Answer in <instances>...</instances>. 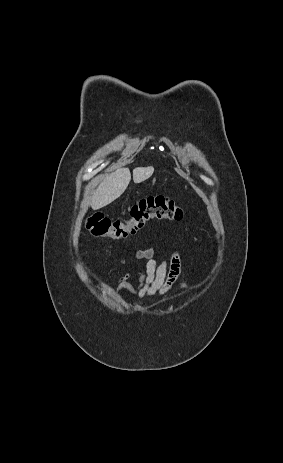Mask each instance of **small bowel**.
Returning <instances> with one entry per match:
<instances>
[{
	"instance_id": "1",
	"label": "small bowel",
	"mask_w": 283,
	"mask_h": 463,
	"mask_svg": "<svg viewBox=\"0 0 283 463\" xmlns=\"http://www.w3.org/2000/svg\"><path fill=\"white\" fill-rule=\"evenodd\" d=\"M116 248L122 250L119 247ZM127 252L137 260H146V270H134L125 259H121L122 264L127 267V272L117 282L120 291L131 293L140 299H150L153 297L163 298L176 286L180 289H186V283L183 281L181 257L178 252H174L168 261L162 262L154 258L155 250L153 248H131ZM131 276L137 277V287L128 282Z\"/></svg>"
}]
</instances>
